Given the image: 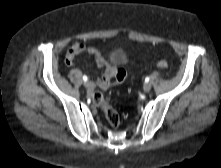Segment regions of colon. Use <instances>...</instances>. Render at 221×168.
I'll return each mask as SVG.
<instances>
[{
  "label": "colon",
  "instance_id": "1",
  "mask_svg": "<svg viewBox=\"0 0 221 168\" xmlns=\"http://www.w3.org/2000/svg\"><path fill=\"white\" fill-rule=\"evenodd\" d=\"M157 66L160 69H167L168 68V63L165 60H160L157 63ZM92 101L94 104H96L97 106H100L105 113V117L109 123V125L112 128H117L120 124V117L119 114L117 113V111L115 109H113L104 99V96L102 95L101 92L96 91L93 93L92 95Z\"/></svg>",
  "mask_w": 221,
  "mask_h": 168
}]
</instances>
